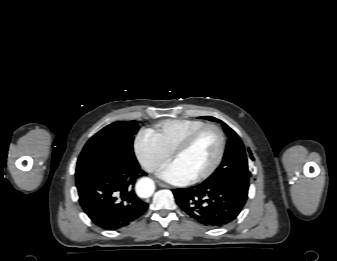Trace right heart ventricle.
I'll return each mask as SVG.
<instances>
[{
	"instance_id": "1",
	"label": "right heart ventricle",
	"mask_w": 337,
	"mask_h": 261,
	"mask_svg": "<svg viewBox=\"0 0 337 261\" xmlns=\"http://www.w3.org/2000/svg\"><path fill=\"white\" fill-rule=\"evenodd\" d=\"M204 124L194 119H168L156 124L149 132L171 154L188 133Z\"/></svg>"
}]
</instances>
